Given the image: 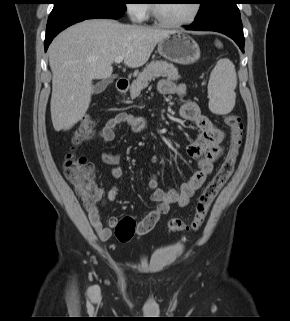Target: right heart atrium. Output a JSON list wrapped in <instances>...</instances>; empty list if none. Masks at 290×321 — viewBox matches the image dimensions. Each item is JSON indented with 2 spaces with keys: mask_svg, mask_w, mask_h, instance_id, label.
Wrapping results in <instances>:
<instances>
[{
  "mask_svg": "<svg viewBox=\"0 0 290 321\" xmlns=\"http://www.w3.org/2000/svg\"><path fill=\"white\" fill-rule=\"evenodd\" d=\"M141 0H128L125 11L133 22H142L147 16V5L140 3Z\"/></svg>",
  "mask_w": 290,
  "mask_h": 321,
  "instance_id": "right-heart-atrium-1",
  "label": "right heart atrium"
}]
</instances>
